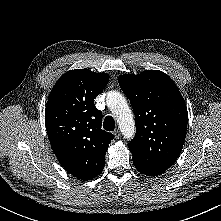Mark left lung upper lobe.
Here are the masks:
<instances>
[{
	"instance_id": "left-lung-upper-lobe-1",
	"label": "left lung upper lobe",
	"mask_w": 221,
	"mask_h": 221,
	"mask_svg": "<svg viewBox=\"0 0 221 221\" xmlns=\"http://www.w3.org/2000/svg\"><path fill=\"white\" fill-rule=\"evenodd\" d=\"M118 82L135 114L132 160L144 166L171 167L185 141L188 112L174 81L158 70L124 74Z\"/></svg>"
}]
</instances>
